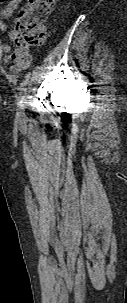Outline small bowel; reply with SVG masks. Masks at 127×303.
Returning a JSON list of instances; mask_svg holds the SVG:
<instances>
[{
  "instance_id": "c3829d8e",
  "label": "small bowel",
  "mask_w": 127,
  "mask_h": 303,
  "mask_svg": "<svg viewBox=\"0 0 127 303\" xmlns=\"http://www.w3.org/2000/svg\"><path fill=\"white\" fill-rule=\"evenodd\" d=\"M23 0H12L10 4L0 11V30L6 36L11 33L6 24V20L10 19L19 8ZM0 50L3 54V61L9 65V71L18 74L27 69L32 62L31 55L26 48L12 49L9 44H0Z\"/></svg>"
}]
</instances>
